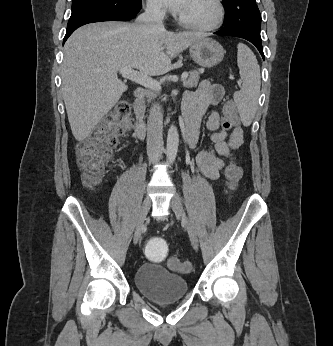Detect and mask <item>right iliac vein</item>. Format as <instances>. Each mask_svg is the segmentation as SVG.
<instances>
[{
    "instance_id": "obj_1",
    "label": "right iliac vein",
    "mask_w": 333,
    "mask_h": 346,
    "mask_svg": "<svg viewBox=\"0 0 333 346\" xmlns=\"http://www.w3.org/2000/svg\"><path fill=\"white\" fill-rule=\"evenodd\" d=\"M150 206H151V200L149 197H146L144 199V201L141 205L140 211H139V216L137 219L135 233H134V243H137V241L139 240V238L141 236L142 228H143V225L146 221L148 212L150 210Z\"/></svg>"
}]
</instances>
